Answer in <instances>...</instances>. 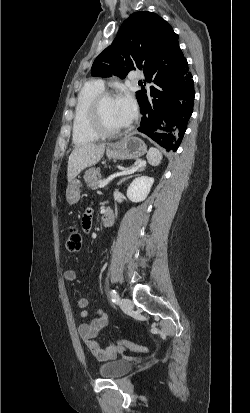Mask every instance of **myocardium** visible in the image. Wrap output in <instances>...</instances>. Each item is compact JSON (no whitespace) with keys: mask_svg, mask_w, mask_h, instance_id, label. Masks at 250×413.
<instances>
[{"mask_svg":"<svg viewBox=\"0 0 250 413\" xmlns=\"http://www.w3.org/2000/svg\"><path fill=\"white\" fill-rule=\"evenodd\" d=\"M108 98H114V93L111 91L100 92L93 98L89 108L90 125L99 137L118 136L127 129V126L119 129H110L105 125L102 115V104Z\"/></svg>","mask_w":250,"mask_h":413,"instance_id":"1","label":"myocardium"}]
</instances>
